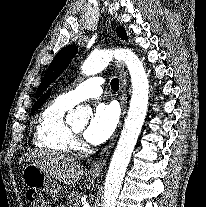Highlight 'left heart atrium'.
Here are the masks:
<instances>
[{"instance_id": "1", "label": "left heart atrium", "mask_w": 206, "mask_h": 207, "mask_svg": "<svg viewBox=\"0 0 206 207\" xmlns=\"http://www.w3.org/2000/svg\"><path fill=\"white\" fill-rule=\"evenodd\" d=\"M119 120V110L114 103L98 104L85 131V138L92 144L106 141L114 132Z\"/></svg>"}]
</instances>
